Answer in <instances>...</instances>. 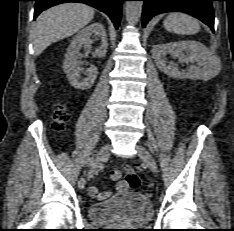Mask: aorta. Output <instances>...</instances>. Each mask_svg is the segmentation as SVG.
<instances>
[{
    "mask_svg": "<svg viewBox=\"0 0 234 231\" xmlns=\"http://www.w3.org/2000/svg\"><path fill=\"white\" fill-rule=\"evenodd\" d=\"M143 7L142 1H127L125 4L126 21L130 25H135L139 21Z\"/></svg>",
    "mask_w": 234,
    "mask_h": 231,
    "instance_id": "762f6f07",
    "label": "aorta"
}]
</instances>
